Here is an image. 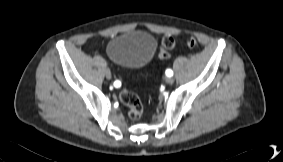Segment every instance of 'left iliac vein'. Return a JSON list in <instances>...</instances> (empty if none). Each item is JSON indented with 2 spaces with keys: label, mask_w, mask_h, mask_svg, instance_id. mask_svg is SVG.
I'll use <instances>...</instances> for the list:
<instances>
[{
  "label": "left iliac vein",
  "mask_w": 283,
  "mask_h": 162,
  "mask_svg": "<svg viewBox=\"0 0 283 162\" xmlns=\"http://www.w3.org/2000/svg\"><path fill=\"white\" fill-rule=\"evenodd\" d=\"M165 81H166V83H168V84H173V83H174V78H172V77H167Z\"/></svg>",
  "instance_id": "left-iliac-vein-1"
}]
</instances>
